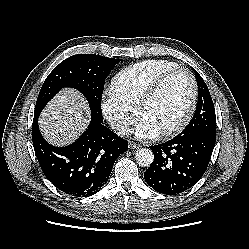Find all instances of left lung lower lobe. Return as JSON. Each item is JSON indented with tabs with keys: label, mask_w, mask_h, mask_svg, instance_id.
<instances>
[{
	"label": "left lung lower lobe",
	"mask_w": 249,
	"mask_h": 249,
	"mask_svg": "<svg viewBox=\"0 0 249 249\" xmlns=\"http://www.w3.org/2000/svg\"><path fill=\"white\" fill-rule=\"evenodd\" d=\"M216 135L208 132L179 134L150 146L154 161L144 172L145 181L159 193L176 195L194 186L205 173Z\"/></svg>",
	"instance_id": "1"
}]
</instances>
